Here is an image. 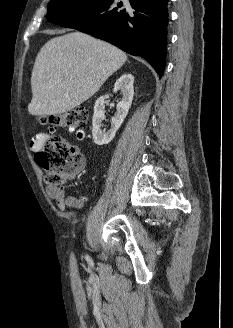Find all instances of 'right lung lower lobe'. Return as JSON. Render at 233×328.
Instances as JSON below:
<instances>
[{
  "mask_svg": "<svg viewBox=\"0 0 233 328\" xmlns=\"http://www.w3.org/2000/svg\"><path fill=\"white\" fill-rule=\"evenodd\" d=\"M169 0H98L57 20L145 58L161 77L166 61Z\"/></svg>",
  "mask_w": 233,
  "mask_h": 328,
  "instance_id": "obj_1",
  "label": "right lung lower lobe"
}]
</instances>
